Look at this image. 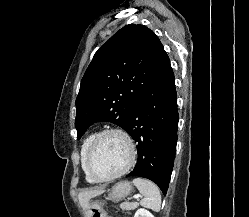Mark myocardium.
I'll return each instance as SVG.
<instances>
[{
  "instance_id": "myocardium-1",
  "label": "myocardium",
  "mask_w": 249,
  "mask_h": 217,
  "mask_svg": "<svg viewBox=\"0 0 249 217\" xmlns=\"http://www.w3.org/2000/svg\"><path fill=\"white\" fill-rule=\"evenodd\" d=\"M109 134L120 135L126 141L128 147H129V159H128V162L125 165V167L122 170H120L119 172H117L111 176H108V177H99V176H96L91 169V165H90L91 158H92L93 152H94L98 142L104 136L109 135ZM136 155H137V151H136L134 141L126 131L119 129V128L104 129L95 135V137L93 138V140L91 141V143L89 145V148H88V151L86 154V158H85L86 171L89 174V176L96 182L113 181V180L125 175L133 167V165L135 163Z\"/></svg>"
}]
</instances>
